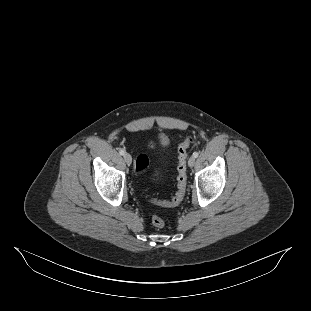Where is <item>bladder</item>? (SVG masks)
Returning <instances> with one entry per match:
<instances>
[{"label":"bladder","mask_w":311,"mask_h":311,"mask_svg":"<svg viewBox=\"0 0 311 311\" xmlns=\"http://www.w3.org/2000/svg\"><path fill=\"white\" fill-rule=\"evenodd\" d=\"M162 145H166L167 144V139L166 138H163L162 141H161Z\"/></svg>","instance_id":"obj_1"}]
</instances>
